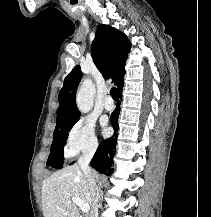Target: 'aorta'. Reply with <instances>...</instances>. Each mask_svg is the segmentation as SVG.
<instances>
[{
	"instance_id": "762f6f07",
	"label": "aorta",
	"mask_w": 211,
	"mask_h": 217,
	"mask_svg": "<svg viewBox=\"0 0 211 217\" xmlns=\"http://www.w3.org/2000/svg\"><path fill=\"white\" fill-rule=\"evenodd\" d=\"M95 86L91 79L86 78L77 92L76 103L81 113L89 112L93 107Z\"/></svg>"
}]
</instances>
